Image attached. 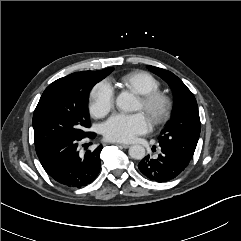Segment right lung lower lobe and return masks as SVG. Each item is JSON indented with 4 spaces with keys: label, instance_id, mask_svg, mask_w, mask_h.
Masks as SVG:
<instances>
[{
    "label": "right lung lower lobe",
    "instance_id": "right-lung-lower-lobe-1",
    "mask_svg": "<svg viewBox=\"0 0 241 241\" xmlns=\"http://www.w3.org/2000/svg\"><path fill=\"white\" fill-rule=\"evenodd\" d=\"M95 134L89 132L81 138L65 139L51 143L37 150L39 160L47 174L60 184L80 188L90 184L100 171V150L79 154V143L83 138L93 139Z\"/></svg>",
    "mask_w": 241,
    "mask_h": 241
}]
</instances>
